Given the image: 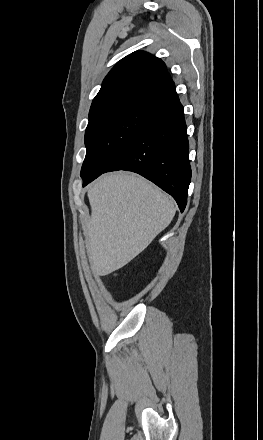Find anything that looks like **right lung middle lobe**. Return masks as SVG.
<instances>
[{"label": "right lung middle lobe", "instance_id": "obj_1", "mask_svg": "<svg viewBox=\"0 0 263 440\" xmlns=\"http://www.w3.org/2000/svg\"><path fill=\"white\" fill-rule=\"evenodd\" d=\"M154 105L111 108L91 118L85 132L86 157L83 181L101 175L114 156L142 130L156 111Z\"/></svg>", "mask_w": 263, "mask_h": 440}]
</instances>
